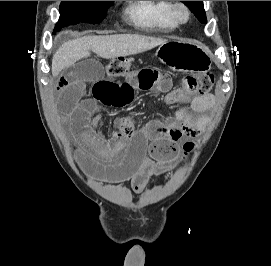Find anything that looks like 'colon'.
Wrapping results in <instances>:
<instances>
[{
	"mask_svg": "<svg viewBox=\"0 0 271 266\" xmlns=\"http://www.w3.org/2000/svg\"><path fill=\"white\" fill-rule=\"evenodd\" d=\"M132 64V59H113L105 64V71L109 77L122 76ZM214 85V75L210 71L190 75L183 79L182 89L187 93L208 95ZM194 147L193 142H187L183 146L185 155L191 152Z\"/></svg>",
	"mask_w": 271,
	"mask_h": 266,
	"instance_id": "obj_1",
	"label": "colon"
}]
</instances>
